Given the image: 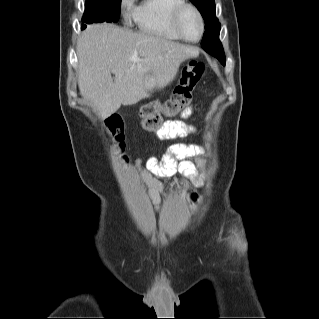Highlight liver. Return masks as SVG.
<instances>
[{"mask_svg":"<svg viewBox=\"0 0 319 319\" xmlns=\"http://www.w3.org/2000/svg\"><path fill=\"white\" fill-rule=\"evenodd\" d=\"M80 94L102 119L123 105L148 97L147 79L155 88L174 80L180 64L198 49L150 33H134L102 23L89 25L77 42ZM135 56L136 60H130ZM112 74L115 75L113 80Z\"/></svg>","mask_w":319,"mask_h":319,"instance_id":"obj_1","label":"liver"}]
</instances>
